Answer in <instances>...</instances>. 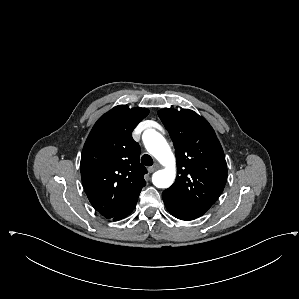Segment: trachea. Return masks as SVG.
Listing matches in <instances>:
<instances>
[{
	"mask_svg": "<svg viewBox=\"0 0 299 299\" xmlns=\"http://www.w3.org/2000/svg\"><path fill=\"white\" fill-rule=\"evenodd\" d=\"M141 163L145 166H151L153 165V159L148 154H145L141 158Z\"/></svg>",
	"mask_w": 299,
	"mask_h": 299,
	"instance_id": "trachea-1",
	"label": "trachea"
}]
</instances>
